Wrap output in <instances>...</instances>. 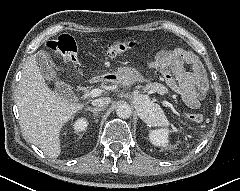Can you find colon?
<instances>
[{
    "label": "colon",
    "mask_w": 240,
    "mask_h": 191,
    "mask_svg": "<svg viewBox=\"0 0 240 191\" xmlns=\"http://www.w3.org/2000/svg\"><path fill=\"white\" fill-rule=\"evenodd\" d=\"M48 48L58 53L64 62L77 64L78 58V48L74 38L68 34H62L56 39H51L47 42ZM136 46V42L132 39H120L116 40L108 46L107 52L109 55H116L121 52L133 49ZM158 67L162 70L165 69L166 63L165 58H163L159 63ZM188 119L193 123H201L203 121V116L199 113L189 114Z\"/></svg>",
    "instance_id": "1"
}]
</instances>
